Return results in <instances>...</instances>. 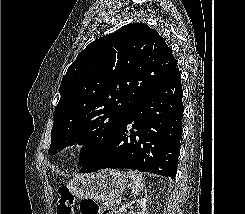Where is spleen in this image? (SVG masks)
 <instances>
[{
	"instance_id": "3e777b00",
	"label": "spleen",
	"mask_w": 245,
	"mask_h": 214,
	"mask_svg": "<svg viewBox=\"0 0 245 214\" xmlns=\"http://www.w3.org/2000/svg\"><path fill=\"white\" fill-rule=\"evenodd\" d=\"M127 175L132 179V193L134 195H139L140 192L143 191L145 184L143 183V176L141 173H137L135 171H129L127 172Z\"/></svg>"
}]
</instances>
